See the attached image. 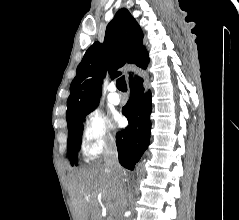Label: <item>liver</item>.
<instances>
[{
	"label": "liver",
	"mask_w": 239,
	"mask_h": 220,
	"mask_svg": "<svg viewBox=\"0 0 239 220\" xmlns=\"http://www.w3.org/2000/svg\"><path fill=\"white\" fill-rule=\"evenodd\" d=\"M124 174L122 169L123 179ZM69 193L77 220H102V201L112 204L118 215L125 210L118 175L105 164L75 171L69 180Z\"/></svg>",
	"instance_id": "liver-1"
}]
</instances>
